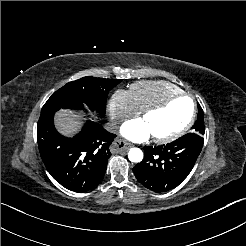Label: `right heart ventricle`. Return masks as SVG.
Segmentation results:
<instances>
[{
  "mask_svg": "<svg viewBox=\"0 0 246 246\" xmlns=\"http://www.w3.org/2000/svg\"><path fill=\"white\" fill-rule=\"evenodd\" d=\"M128 92L136 112L182 93L177 86L164 81H139L132 84Z\"/></svg>",
  "mask_w": 246,
  "mask_h": 246,
  "instance_id": "1",
  "label": "right heart ventricle"
}]
</instances>
